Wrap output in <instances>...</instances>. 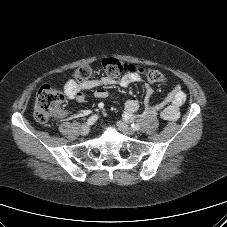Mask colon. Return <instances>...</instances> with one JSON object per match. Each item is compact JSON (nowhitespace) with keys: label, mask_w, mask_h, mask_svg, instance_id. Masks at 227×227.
I'll return each instance as SVG.
<instances>
[{"label":"colon","mask_w":227,"mask_h":227,"mask_svg":"<svg viewBox=\"0 0 227 227\" xmlns=\"http://www.w3.org/2000/svg\"><path fill=\"white\" fill-rule=\"evenodd\" d=\"M103 70L109 77H117L125 73L138 72L147 81L156 84L166 82L165 75L154 69L136 68L132 64L125 63L115 58H106L102 63ZM92 70L89 66H81L75 70L73 76L76 82H83L91 76ZM65 102V95L51 85H43L37 92L34 117L39 123H47L52 117L59 114Z\"/></svg>","instance_id":"colon-1"}]
</instances>
